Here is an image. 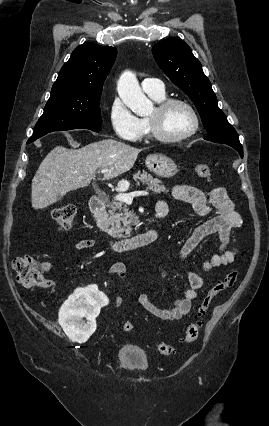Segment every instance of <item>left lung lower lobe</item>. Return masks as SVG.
Masks as SVG:
<instances>
[{
    "instance_id": "left-lung-lower-lobe-1",
    "label": "left lung lower lobe",
    "mask_w": 269,
    "mask_h": 426,
    "mask_svg": "<svg viewBox=\"0 0 269 426\" xmlns=\"http://www.w3.org/2000/svg\"><path fill=\"white\" fill-rule=\"evenodd\" d=\"M224 144H227V145L233 147L235 150H237L239 152L240 156L243 157V147H242L241 144H230V143H224Z\"/></svg>"
}]
</instances>
